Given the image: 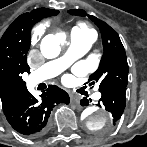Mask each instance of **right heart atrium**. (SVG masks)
I'll return each instance as SVG.
<instances>
[{
	"label": "right heart atrium",
	"instance_id": "right-heart-atrium-1",
	"mask_svg": "<svg viewBox=\"0 0 147 147\" xmlns=\"http://www.w3.org/2000/svg\"><path fill=\"white\" fill-rule=\"evenodd\" d=\"M38 35H39V34H37V33L35 34L36 37H37Z\"/></svg>",
	"mask_w": 147,
	"mask_h": 147
}]
</instances>
